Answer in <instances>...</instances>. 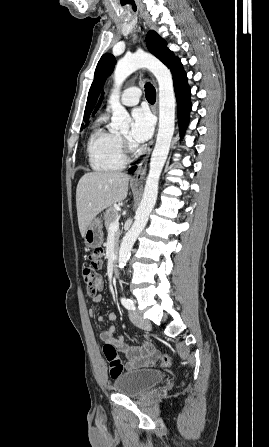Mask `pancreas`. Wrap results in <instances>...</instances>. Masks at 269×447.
Listing matches in <instances>:
<instances>
[{"label":"pancreas","instance_id":"pancreas-1","mask_svg":"<svg viewBox=\"0 0 269 447\" xmlns=\"http://www.w3.org/2000/svg\"><path fill=\"white\" fill-rule=\"evenodd\" d=\"M117 218H118V212L117 210H115V208H113V206H111V208H108V210L104 212L103 220L107 231H109V225L112 224V222H115ZM119 235H120L119 231H116L115 243L116 241H118Z\"/></svg>","mask_w":269,"mask_h":447}]
</instances>
